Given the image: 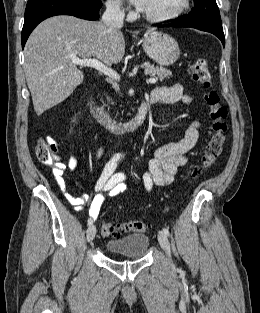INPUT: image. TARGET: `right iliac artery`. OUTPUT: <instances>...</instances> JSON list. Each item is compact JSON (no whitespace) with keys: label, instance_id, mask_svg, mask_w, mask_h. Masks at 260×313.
Instances as JSON below:
<instances>
[{"label":"right iliac artery","instance_id":"1","mask_svg":"<svg viewBox=\"0 0 260 313\" xmlns=\"http://www.w3.org/2000/svg\"><path fill=\"white\" fill-rule=\"evenodd\" d=\"M88 225H89V226L92 225V220H91V219L88 220Z\"/></svg>","mask_w":260,"mask_h":313}]
</instances>
